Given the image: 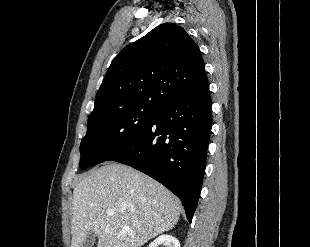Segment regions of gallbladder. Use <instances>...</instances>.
<instances>
[{
	"label": "gallbladder",
	"mask_w": 310,
	"mask_h": 247,
	"mask_svg": "<svg viewBox=\"0 0 310 247\" xmlns=\"http://www.w3.org/2000/svg\"><path fill=\"white\" fill-rule=\"evenodd\" d=\"M96 241V235L94 232H89L86 239L83 242L82 247H93Z\"/></svg>",
	"instance_id": "1"
}]
</instances>
